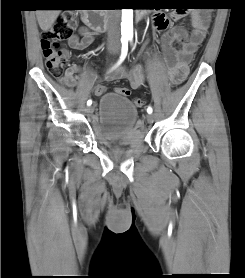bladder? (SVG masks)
I'll list each match as a JSON object with an SVG mask.
<instances>
[{"mask_svg": "<svg viewBox=\"0 0 245 278\" xmlns=\"http://www.w3.org/2000/svg\"><path fill=\"white\" fill-rule=\"evenodd\" d=\"M94 135L100 144L109 148L133 149L145 141L136 106L114 92H107L100 99Z\"/></svg>", "mask_w": 245, "mask_h": 278, "instance_id": "obj_1", "label": "bladder"}]
</instances>
